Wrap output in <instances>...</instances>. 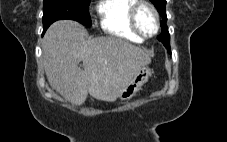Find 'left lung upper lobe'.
<instances>
[{
    "instance_id": "left-lung-upper-lobe-1",
    "label": "left lung upper lobe",
    "mask_w": 227,
    "mask_h": 142,
    "mask_svg": "<svg viewBox=\"0 0 227 142\" xmlns=\"http://www.w3.org/2000/svg\"><path fill=\"white\" fill-rule=\"evenodd\" d=\"M151 2L154 4L159 14L163 18V21H161L162 34L158 37V39L164 44V46L170 52V35L168 32L167 25L165 23L167 21L166 10H165L166 0H151Z\"/></svg>"
}]
</instances>
